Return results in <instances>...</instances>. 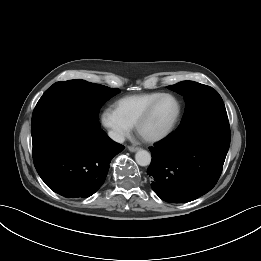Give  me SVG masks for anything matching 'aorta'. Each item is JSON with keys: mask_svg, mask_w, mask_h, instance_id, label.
<instances>
[{"mask_svg": "<svg viewBox=\"0 0 261 261\" xmlns=\"http://www.w3.org/2000/svg\"><path fill=\"white\" fill-rule=\"evenodd\" d=\"M135 160L140 166H148L151 162V154L146 150H139L135 154Z\"/></svg>", "mask_w": 261, "mask_h": 261, "instance_id": "aorta-1", "label": "aorta"}]
</instances>
